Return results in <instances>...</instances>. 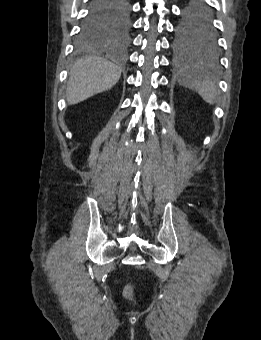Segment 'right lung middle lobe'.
Instances as JSON below:
<instances>
[{
    "label": "right lung middle lobe",
    "instance_id": "obj_1",
    "mask_svg": "<svg viewBox=\"0 0 261 340\" xmlns=\"http://www.w3.org/2000/svg\"><path fill=\"white\" fill-rule=\"evenodd\" d=\"M130 24L129 6L114 16L88 14L78 36V45L86 46L107 39L125 40L128 37Z\"/></svg>",
    "mask_w": 261,
    "mask_h": 340
}]
</instances>
